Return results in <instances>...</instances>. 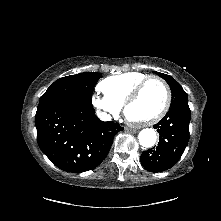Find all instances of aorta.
Wrapping results in <instances>:
<instances>
[{
  "instance_id": "obj_1",
  "label": "aorta",
  "mask_w": 221,
  "mask_h": 221,
  "mask_svg": "<svg viewBox=\"0 0 221 221\" xmlns=\"http://www.w3.org/2000/svg\"><path fill=\"white\" fill-rule=\"evenodd\" d=\"M156 132L151 128H146L140 131L138 140L140 145L146 148H151L156 143Z\"/></svg>"
}]
</instances>
